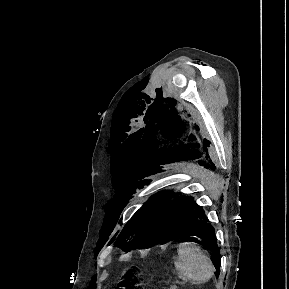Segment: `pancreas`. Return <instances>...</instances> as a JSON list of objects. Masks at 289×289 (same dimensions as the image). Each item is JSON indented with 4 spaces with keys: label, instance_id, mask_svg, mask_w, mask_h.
Masks as SVG:
<instances>
[{
    "label": "pancreas",
    "instance_id": "pancreas-1",
    "mask_svg": "<svg viewBox=\"0 0 289 289\" xmlns=\"http://www.w3.org/2000/svg\"><path fill=\"white\" fill-rule=\"evenodd\" d=\"M178 287L176 285L170 286L168 289H177Z\"/></svg>",
    "mask_w": 289,
    "mask_h": 289
}]
</instances>
